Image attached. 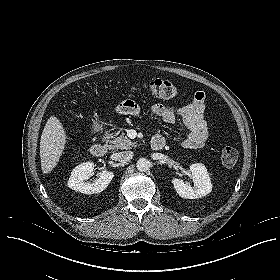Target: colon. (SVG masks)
<instances>
[{
  "label": "colon",
  "mask_w": 280,
  "mask_h": 280,
  "mask_svg": "<svg viewBox=\"0 0 280 280\" xmlns=\"http://www.w3.org/2000/svg\"><path fill=\"white\" fill-rule=\"evenodd\" d=\"M150 92L156 97L169 99L176 95V88L174 84L168 80L155 79L148 85ZM134 105L130 102H124L120 105V111L123 115L132 113ZM238 158V151L233 147H225L221 153L222 164L226 167H232L236 164Z\"/></svg>",
  "instance_id": "obj_1"
}]
</instances>
